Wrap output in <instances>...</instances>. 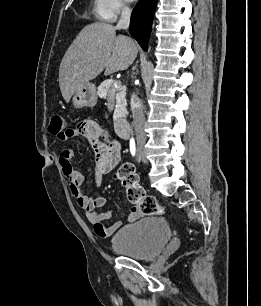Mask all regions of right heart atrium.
Segmentation results:
<instances>
[{
	"instance_id": "obj_1",
	"label": "right heart atrium",
	"mask_w": 261,
	"mask_h": 306,
	"mask_svg": "<svg viewBox=\"0 0 261 306\" xmlns=\"http://www.w3.org/2000/svg\"><path fill=\"white\" fill-rule=\"evenodd\" d=\"M127 10V0H96V14L104 21L113 22Z\"/></svg>"
}]
</instances>
